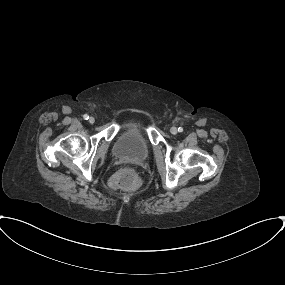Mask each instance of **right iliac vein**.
<instances>
[{"instance_id": "63e3f726", "label": "right iliac vein", "mask_w": 285, "mask_h": 285, "mask_svg": "<svg viewBox=\"0 0 285 285\" xmlns=\"http://www.w3.org/2000/svg\"><path fill=\"white\" fill-rule=\"evenodd\" d=\"M94 122H95V119H94L93 117H90L89 123H90V124H93Z\"/></svg>"}]
</instances>
